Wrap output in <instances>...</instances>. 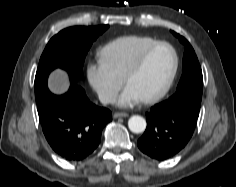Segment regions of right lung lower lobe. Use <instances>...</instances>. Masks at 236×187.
<instances>
[{"label": "right lung lower lobe", "mask_w": 236, "mask_h": 187, "mask_svg": "<svg viewBox=\"0 0 236 187\" xmlns=\"http://www.w3.org/2000/svg\"><path fill=\"white\" fill-rule=\"evenodd\" d=\"M36 104L48 143L72 162L82 161L94 152L103 127L112 120L111 112L92 104L75 83L63 95H54L45 88L36 96Z\"/></svg>", "instance_id": "98d812e1"}]
</instances>
